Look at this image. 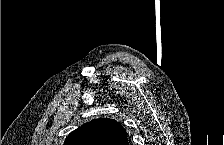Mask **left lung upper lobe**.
Returning <instances> with one entry per match:
<instances>
[{"label":"left lung upper lobe","mask_w":224,"mask_h":145,"mask_svg":"<svg viewBox=\"0 0 224 145\" xmlns=\"http://www.w3.org/2000/svg\"><path fill=\"white\" fill-rule=\"evenodd\" d=\"M64 145H128L125 129L116 120L100 118L72 131Z\"/></svg>","instance_id":"left-lung-upper-lobe-1"}]
</instances>
